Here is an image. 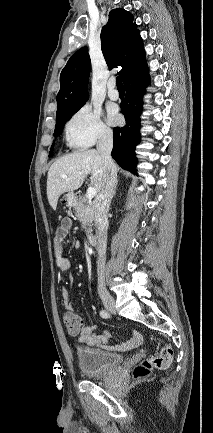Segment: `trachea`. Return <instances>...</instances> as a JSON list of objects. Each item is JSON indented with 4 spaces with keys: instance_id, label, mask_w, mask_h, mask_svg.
<instances>
[{
    "instance_id": "obj_1",
    "label": "trachea",
    "mask_w": 213,
    "mask_h": 433,
    "mask_svg": "<svg viewBox=\"0 0 213 433\" xmlns=\"http://www.w3.org/2000/svg\"><path fill=\"white\" fill-rule=\"evenodd\" d=\"M116 84H117V88H118V89H124V86H123V83H122V79H121L120 76H118V77L116 78Z\"/></svg>"
}]
</instances>
